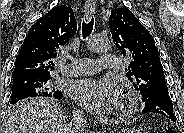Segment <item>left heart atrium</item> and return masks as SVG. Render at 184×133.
Instances as JSON below:
<instances>
[{
    "mask_svg": "<svg viewBox=\"0 0 184 133\" xmlns=\"http://www.w3.org/2000/svg\"><path fill=\"white\" fill-rule=\"evenodd\" d=\"M70 95L77 104L96 114L112 110L119 97L117 85L113 80L92 78L73 82Z\"/></svg>",
    "mask_w": 184,
    "mask_h": 133,
    "instance_id": "1",
    "label": "left heart atrium"
}]
</instances>
